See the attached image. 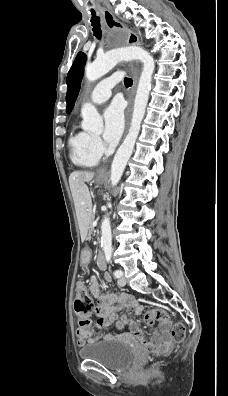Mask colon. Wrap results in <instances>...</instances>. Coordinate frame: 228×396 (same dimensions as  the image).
Listing matches in <instances>:
<instances>
[{
	"instance_id": "colon-1",
	"label": "colon",
	"mask_w": 228,
	"mask_h": 396,
	"mask_svg": "<svg viewBox=\"0 0 228 396\" xmlns=\"http://www.w3.org/2000/svg\"><path fill=\"white\" fill-rule=\"evenodd\" d=\"M74 310L78 317L79 328L89 327L90 320L88 314L94 310V304L82 281L77 284ZM144 321L148 325H153L156 321L160 322L170 330L171 339L176 343L181 342L185 337L186 331L184 325L180 322H173L170 315L164 309L155 308L148 311L144 316Z\"/></svg>"
}]
</instances>
